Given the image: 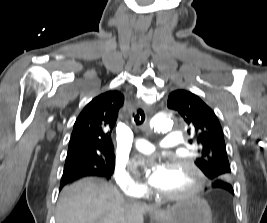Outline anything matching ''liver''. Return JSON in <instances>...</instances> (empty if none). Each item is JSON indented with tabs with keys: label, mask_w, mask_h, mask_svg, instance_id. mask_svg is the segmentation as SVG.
I'll return each mask as SVG.
<instances>
[{
	"label": "liver",
	"mask_w": 267,
	"mask_h": 223,
	"mask_svg": "<svg viewBox=\"0 0 267 223\" xmlns=\"http://www.w3.org/2000/svg\"><path fill=\"white\" fill-rule=\"evenodd\" d=\"M156 207L126 200L102 179L85 178L63 188L56 223H143Z\"/></svg>",
	"instance_id": "1"
}]
</instances>
